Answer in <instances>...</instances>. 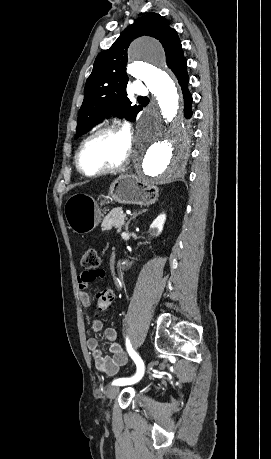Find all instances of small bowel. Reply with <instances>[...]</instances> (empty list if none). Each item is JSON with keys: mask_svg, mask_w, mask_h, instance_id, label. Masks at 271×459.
<instances>
[{"mask_svg": "<svg viewBox=\"0 0 271 459\" xmlns=\"http://www.w3.org/2000/svg\"><path fill=\"white\" fill-rule=\"evenodd\" d=\"M105 277V271L102 268H97L92 271H85L78 277L79 300L83 307L91 306V298L87 292L89 282L102 279ZM91 326L94 332H99L103 329V323L98 319H93ZM105 338L111 342L109 347L110 355H104L98 346V342L94 338L87 340L88 350L94 360L95 368L98 372L108 376H114L119 371L120 367L126 364L127 356L121 345L116 341L117 332L114 328L108 327L104 330Z\"/></svg>", "mask_w": 271, "mask_h": 459, "instance_id": "1", "label": "small bowel"}]
</instances>
